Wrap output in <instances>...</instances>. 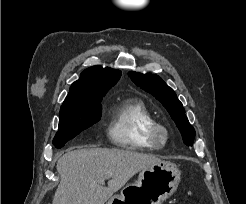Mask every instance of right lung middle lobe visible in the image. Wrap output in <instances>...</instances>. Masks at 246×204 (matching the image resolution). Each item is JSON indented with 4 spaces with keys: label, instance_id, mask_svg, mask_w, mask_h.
<instances>
[{
    "label": "right lung middle lobe",
    "instance_id": "right-lung-middle-lobe-1",
    "mask_svg": "<svg viewBox=\"0 0 246 204\" xmlns=\"http://www.w3.org/2000/svg\"><path fill=\"white\" fill-rule=\"evenodd\" d=\"M102 98L91 97L79 103L62 104L59 129L53 139L55 147H63L70 139L100 120Z\"/></svg>",
    "mask_w": 246,
    "mask_h": 204
}]
</instances>
